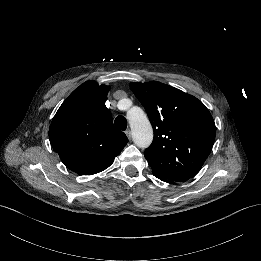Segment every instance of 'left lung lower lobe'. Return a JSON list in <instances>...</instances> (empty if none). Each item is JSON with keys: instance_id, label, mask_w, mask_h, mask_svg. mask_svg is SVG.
Masks as SVG:
<instances>
[{"instance_id": "0a47b994", "label": "left lung lower lobe", "mask_w": 261, "mask_h": 261, "mask_svg": "<svg viewBox=\"0 0 261 261\" xmlns=\"http://www.w3.org/2000/svg\"><path fill=\"white\" fill-rule=\"evenodd\" d=\"M157 178H159L160 180L164 181V182H167V183H174V182H178V181H174V180H171V179H167L165 177H162L160 175H157V174H154Z\"/></svg>"}]
</instances>
